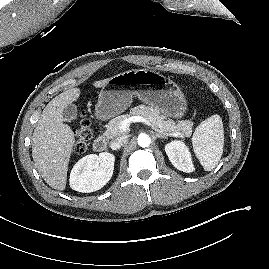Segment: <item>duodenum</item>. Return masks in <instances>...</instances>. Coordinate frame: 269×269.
Masks as SVG:
<instances>
[{
  "instance_id": "410a0bca",
  "label": "duodenum",
  "mask_w": 269,
  "mask_h": 269,
  "mask_svg": "<svg viewBox=\"0 0 269 269\" xmlns=\"http://www.w3.org/2000/svg\"><path fill=\"white\" fill-rule=\"evenodd\" d=\"M107 142H108V140H107V137L105 135H99L93 143L94 150L97 152L104 151L107 147Z\"/></svg>"
}]
</instances>
